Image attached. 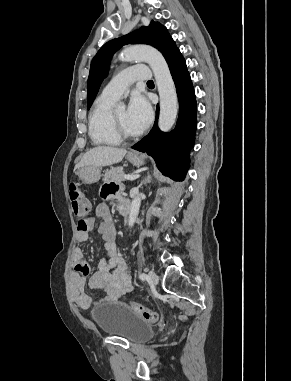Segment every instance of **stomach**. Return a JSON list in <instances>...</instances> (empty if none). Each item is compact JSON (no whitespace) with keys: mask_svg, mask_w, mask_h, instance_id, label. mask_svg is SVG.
I'll use <instances>...</instances> for the list:
<instances>
[{"mask_svg":"<svg viewBox=\"0 0 291 381\" xmlns=\"http://www.w3.org/2000/svg\"><path fill=\"white\" fill-rule=\"evenodd\" d=\"M127 159L130 161L134 166H141L144 164V159L142 155L134 152H129L127 154ZM77 175L79 177V180L82 181L84 184H92L97 182L100 179L101 171L99 167L94 166H87L81 168Z\"/></svg>","mask_w":291,"mask_h":381,"instance_id":"stomach-1","label":"stomach"}]
</instances>
